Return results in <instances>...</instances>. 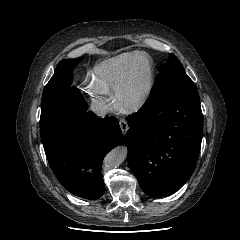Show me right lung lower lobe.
I'll list each match as a JSON object with an SVG mask.
<instances>
[{"label": "right lung lower lobe", "mask_w": 240, "mask_h": 240, "mask_svg": "<svg viewBox=\"0 0 240 240\" xmlns=\"http://www.w3.org/2000/svg\"><path fill=\"white\" fill-rule=\"evenodd\" d=\"M87 109L81 94L72 97L68 110H59L40 125V135L61 185L73 195L94 200L105 190L102 160L120 144L122 131L116 117L100 119Z\"/></svg>", "instance_id": "obj_1"}]
</instances>
